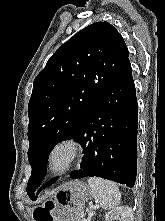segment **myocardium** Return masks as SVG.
<instances>
[{
	"mask_svg": "<svg viewBox=\"0 0 165 221\" xmlns=\"http://www.w3.org/2000/svg\"><path fill=\"white\" fill-rule=\"evenodd\" d=\"M67 149L69 152V158L66 164L61 168H56L52 164V157L54 153L59 149ZM82 153L81 142L72 136L63 137L55 141L48 150L47 153V166L49 170L54 174H64L71 170L78 162Z\"/></svg>",
	"mask_w": 165,
	"mask_h": 221,
	"instance_id": "1",
	"label": "myocardium"
}]
</instances>
